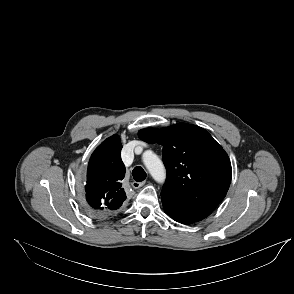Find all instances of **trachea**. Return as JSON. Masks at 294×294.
<instances>
[{
	"label": "trachea",
	"instance_id": "trachea-1",
	"mask_svg": "<svg viewBox=\"0 0 294 294\" xmlns=\"http://www.w3.org/2000/svg\"><path fill=\"white\" fill-rule=\"evenodd\" d=\"M132 175H133L134 180L137 182H141V181L145 180L146 176H147L144 169L140 166H137L133 169Z\"/></svg>",
	"mask_w": 294,
	"mask_h": 294
}]
</instances>
